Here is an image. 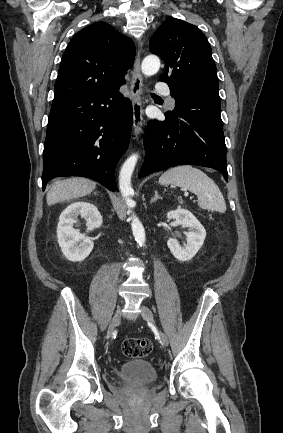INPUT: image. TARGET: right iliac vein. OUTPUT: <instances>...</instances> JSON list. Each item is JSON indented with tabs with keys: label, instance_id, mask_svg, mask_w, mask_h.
<instances>
[{
	"label": "right iliac vein",
	"instance_id": "1",
	"mask_svg": "<svg viewBox=\"0 0 283 433\" xmlns=\"http://www.w3.org/2000/svg\"><path fill=\"white\" fill-rule=\"evenodd\" d=\"M120 317H121V310H118L115 313V315H114V317H113V319L109 325L108 332H107V338L111 337V334H112L115 326H117L120 323Z\"/></svg>",
	"mask_w": 283,
	"mask_h": 433
}]
</instances>
